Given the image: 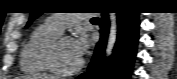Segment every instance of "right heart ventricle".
I'll return each instance as SVG.
<instances>
[{"label":"right heart ventricle","mask_w":177,"mask_h":79,"mask_svg":"<svg viewBox=\"0 0 177 79\" xmlns=\"http://www.w3.org/2000/svg\"><path fill=\"white\" fill-rule=\"evenodd\" d=\"M60 34L47 22L37 26L22 47L20 56L22 71L32 75H48L51 73L44 61V50L48 43Z\"/></svg>","instance_id":"obj_1"}]
</instances>
